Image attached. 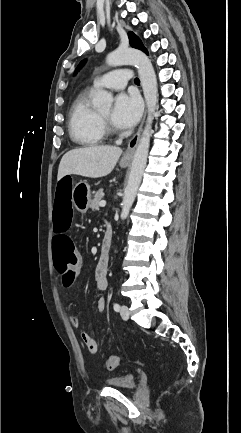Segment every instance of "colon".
<instances>
[{
    "label": "colon",
    "mask_w": 241,
    "mask_h": 433,
    "mask_svg": "<svg viewBox=\"0 0 241 433\" xmlns=\"http://www.w3.org/2000/svg\"><path fill=\"white\" fill-rule=\"evenodd\" d=\"M73 183L70 175L65 173L59 177L54 187L53 219L55 234H52L51 249L55 265L68 285L75 273L79 259L75 250L73 234H66L68 226H71L73 209L71 206V195ZM118 366V357L109 355L105 360V367L113 370Z\"/></svg>",
    "instance_id": "5ec220e1"
}]
</instances>
